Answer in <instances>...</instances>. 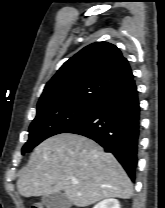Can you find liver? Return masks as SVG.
Segmentation results:
<instances>
[{
	"label": "liver",
	"mask_w": 165,
	"mask_h": 208,
	"mask_svg": "<svg viewBox=\"0 0 165 208\" xmlns=\"http://www.w3.org/2000/svg\"><path fill=\"white\" fill-rule=\"evenodd\" d=\"M17 189L23 197L63 191L77 207L133 195V185L116 158L95 141L71 133L52 136L35 148Z\"/></svg>",
	"instance_id": "obj_1"
}]
</instances>
